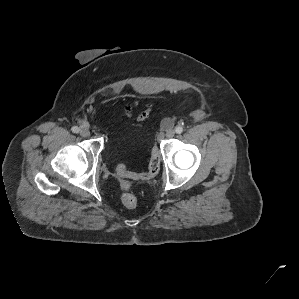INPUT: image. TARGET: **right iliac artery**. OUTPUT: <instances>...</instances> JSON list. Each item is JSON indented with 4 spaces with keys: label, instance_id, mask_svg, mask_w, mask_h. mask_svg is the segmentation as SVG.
I'll return each instance as SVG.
<instances>
[{
    "label": "right iliac artery",
    "instance_id": "obj_1",
    "mask_svg": "<svg viewBox=\"0 0 299 299\" xmlns=\"http://www.w3.org/2000/svg\"><path fill=\"white\" fill-rule=\"evenodd\" d=\"M71 130L73 133H78L80 131V129L77 126H73Z\"/></svg>",
    "mask_w": 299,
    "mask_h": 299
}]
</instances>
